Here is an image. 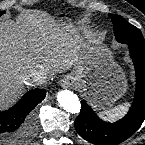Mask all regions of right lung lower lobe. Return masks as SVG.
<instances>
[{
  "mask_svg": "<svg viewBox=\"0 0 145 145\" xmlns=\"http://www.w3.org/2000/svg\"><path fill=\"white\" fill-rule=\"evenodd\" d=\"M45 95V90H32L12 108L0 112V134L12 137L22 136L26 131L25 118L43 100Z\"/></svg>",
  "mask_w": 145,
  "mask_h": 145,
  "instance_id": "obj_1",
  "label": "right lung lower lobe"
}]
</instances>
